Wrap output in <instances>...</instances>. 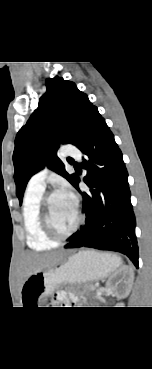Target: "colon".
Segmentation results:
<instances>
[{
    "instance_id": "1",
    "label": "colon",
    "mask_w": 152,
    "mask_h": 369,
    "mask_svg": "<svg viewBox=\"0 0 152 369\" xmlns=\"http://www.w3.org/2000/svg\"><path fill=\"white\" fill-rule=\"evenodd\" d=\"M58 300L59 301H61V302H63V303H65L66 302V296L64 295V294H60V295H58Z\"/></svg>"
}]
</instances>
